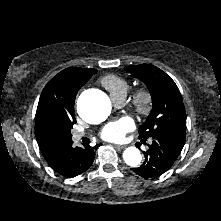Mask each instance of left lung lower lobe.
I'll use <instances>...</instances> for the list:
<instances>
[{
    "instance_id": "0a47b994",
    "label": "left lung lower lobe",
    "mask_w": 221,
    "mask_h": 221,
    "mask_svg": "<svg viewBox=\"0 0 221 221\" xmlns=\"http://www.w3.org/2000/svg\"><path fill=\"white\" fill-rule=\"evenodd\" d=\"M151 139L152 144L144 152V163L131 169L144 178H154L165 173L178 158L185 144V134L160 133Z\"/></svg>"
}]
</instances>
